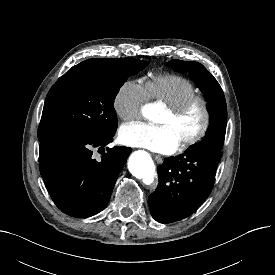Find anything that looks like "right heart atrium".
Segmentation results:
<instances>
[{"label": "right heart atrium", "mask_w": 275, "mask_h": 275, "mask_svg": "<svg viewBox=\"0 0 275 275\" xmlns=\"http://www.w3.org/2000/svg\"><path fill=\"white\" fill-rule=\"evenodd\" d=\"M148 99L144 84L137 80H126L114 95L113 109L121 120L132 121L141 116L142 108Z\"/></svg>", "instance_id": "obj_1"}]
</instances>
